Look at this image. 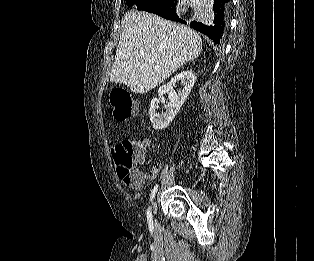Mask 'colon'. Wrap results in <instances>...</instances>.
Instances as JSON below:
<instances>
[{"label": "colon", "mask_w": 314, "mask_h": 261, "mask_svg": "<svg viewBox=\"0 0 314 261\" xmlns=\"http://www.w3.org/2000/svg\"><path fill=\"white\" fill-rule=\"evenodd\" d=\"M109 102L112 107V117L117 122H125L137 112V103L130 93L124 88H114L109 94ZM147 144L144 141L127 138L122 140L113 149V156L119 178L126 186H139L144 176L136 170L135 164L143 154Z\"/></svg>", "instance_id": "1"}]
</instances>
